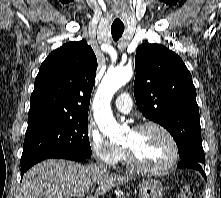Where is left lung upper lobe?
<instances>
[{"instance_id": "obj_1", "label": "left lung upper lobe", "mask_w": 221, "mask_h": 198, "mask_svg": "<svg viewBox=\"0 0 221 198\" xmlns=\"http://www.w3.org/2000/svg\"><path fill=\"white\" fill-rule=\"evenodd\" d=\"M134 96L142 114L173 136L182 160L205 163L199 107L182 59L159 44H142L135 56Z\"/></svg>"}]
</instances>
